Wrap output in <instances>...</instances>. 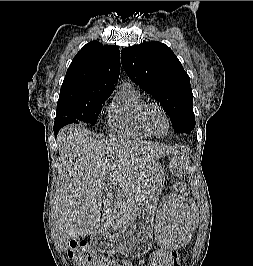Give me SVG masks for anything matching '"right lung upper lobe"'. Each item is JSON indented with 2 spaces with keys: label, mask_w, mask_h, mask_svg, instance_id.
Here are the masks:
<instances>
[{
  "label": "right lung upper lobe",
  "mask_w": 253,
  "mask_h": 266,
  "mask_svg": "<svg viewBox=\"0 0 253 266\" xmlns=\"http://www.w3.org/2000/svg\"><path fill=\"white\" fill-rule=\"evenodd\" d=\"M120 73V52L98 41L86 44L72 60L61 86L58 103L86 101L111 94Z\"/></svg>",
  "instance_id": "obj_1"
}]
</instances>
